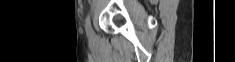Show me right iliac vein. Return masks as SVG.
<instances>
[{
  "mask_svg": "<svg viewBox=\"0 0 235 62\" xmlns=\"http://www.w3.org/2000/svg\"><path fill=\"white\" fill-rule=\"evenodd\" d=\"M89 38H91V39L93 38V33L91 34V36H89Z\"/></svg>",
  "mask_w": 235,
  "mask_h": 62,
  "instance_id": "1",
  "label": "right iliac vein"
}]
</instances>
